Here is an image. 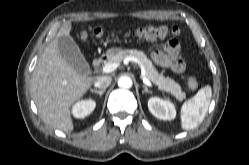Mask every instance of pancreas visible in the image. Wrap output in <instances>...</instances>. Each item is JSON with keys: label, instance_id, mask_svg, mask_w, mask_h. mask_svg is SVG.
<instances>
[{"label": "pancreas", "instance_id": "pancreas-1", "mask_svg": "<svg viewBox=\"0 0 249 165\" xmlns=\"http://www.w3.org/2000/svg\"><path fill=\"white\" fill-rule=\"evenodd\" d=\"M135 58L139 65H142L145 70V76L154 84L158 86L160 90L171 93L176 99L182 101L185 99L186 94L182 92L181 87L173 79L164 77L163 74H159L155 69L152 61L147 58L143 51L137 49L121 50L110 56L109 62L120 63L125 58Z\"/></svg>", "mask_w": 249, "mask_h": 165}]
</instances>
